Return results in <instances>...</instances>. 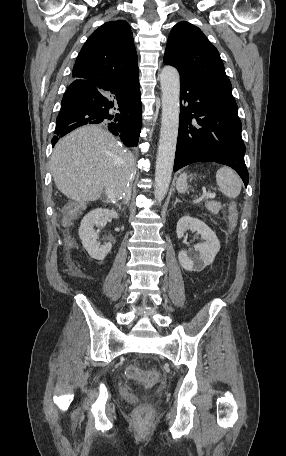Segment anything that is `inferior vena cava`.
I'll use <instances>...</instances> for the list:
<instances>
[{
  "mask_svg": "<svg viewBox=\"0 0 286 456\" xmlns=\"http://www.w3.org/2000/svg\"><path fill=\"white\" fill-rule=\"evenodd\" d=\"M125 203H127L131 197V188L129 187L123 195Z\"/></svg>",
  "mask_w": 286,
  "mask_h": 456,
  "instance_id": "602c4592",
  "label": "inferior vena cava"
}]
</instances>
